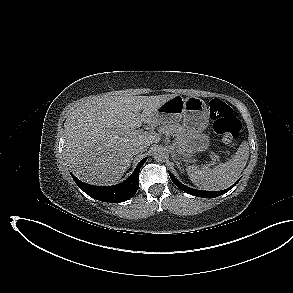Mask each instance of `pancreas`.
Here are the masks:
<instances>
[{
	"instance_id": "pancreas-1",
	"label": "pancreas",
	"mask_w": 293,
	"mask_h": 293,
	"mask_svg": "<svg viewBox=\"0 0 293 293\" xmlns=\"http://www.w3.org/2000/svg\"><path fill=\"white\" fill-rule=\"evenodd\" d=\"M160 131L166 135L175 137L174 143L177 146L179 152L182 154L191 155L192 149L189 145L186 128L183 125H180L179 123H169L161 127Z\"/></svg>"
}]
</instances>
